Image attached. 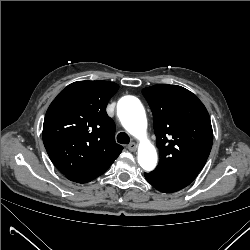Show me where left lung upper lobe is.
Masks as SVG:
<instances>
[{
  "mask_svg": "<svg viewBox=\"0 0 250 250\" xmlns=\"http://www.w3.org/2000/svg\"><path fill=\"white\" fill-rule=\"evenodd\" d=\"M142 92L153 113L160 155L155 171H200L213 142L210 117L203 103L177 85L158 84Z\"/></svg>",
  "mask_w": 250,
  "mask_h": 250,
  "instance_id": "left-lung-upper-lobe-1",
  "label": "left lung upper lobe"
}]
</instances>
